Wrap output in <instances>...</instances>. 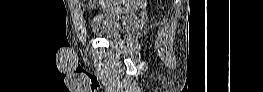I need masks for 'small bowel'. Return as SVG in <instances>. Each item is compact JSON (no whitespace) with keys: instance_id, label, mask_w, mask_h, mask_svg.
<instances>
[{"instance_id":"small-bowel-1","label":"small bowel","mask_w":263,"mask_h":92,"mask_svg":"<svg viewBox=\"0 0 263 92\" xmlns=\"http://www.w3.org/2000/svg\"><path fill=\"white\" fill-rule=\"evenodd\" d=\"M90 2H93V4H101L99 1H90ZM118 5H119L118 3L111 4V6H113L114 8L119 7Z\"/></svg>"}]
</instances>
